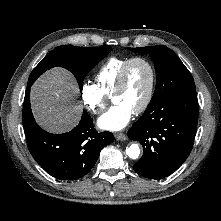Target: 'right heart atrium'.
<instances>
[{
  "mask_svg": "<svg viewBox=\"0 0 221 221\" xmlns=\"http://www.w3.org/2000/svg\"><path fill=\"white\" fill-rule=\"evenodd\" d=\"M81 98L85 107L94 115L100 114L107 104V97L97 85L84 82L81 86Z\"/></svg>",
  "mask_w": 221,
  "mask_h": 221,
  "instance_id": "obj_1",
  "label": "right heart atrium"
}]
</instances>
